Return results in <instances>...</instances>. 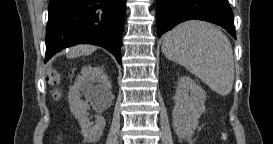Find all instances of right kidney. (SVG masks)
<instances>
[{
    "label": "right kidney",
    "instance_id": "ca27d5eb",
    "mask_svg": "<svg viewBox=\"0 0 273 144\" xmlns=\"http://www.w3.org/2000/svg\"><path fill=\"white\" fill-rule=\"evenodd\" d=\"M95 81L99 84L94 85ZM80 92H84L90 100H105L111 97V84L100 67L85 66L82 69V76L70 88L68 94L71 112L78 120L84 139L95 143L100 138L106 121L102 115L96 116L95 124L89 121L88 104L81 99Z\"/></svg>",
    "mask_w": 273,
    "mask_h": 144
}]
</instances>
